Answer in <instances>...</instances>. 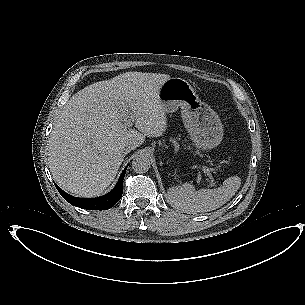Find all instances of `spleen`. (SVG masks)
Listing matches in <instances>:
<instances>
[{
    "label": "spleen",
    "mask_w": 305,
    "mask_h": 305,
    "mask_svg": "<svg viewBox=\"0 0 305 305\" xmlns=\"http://www.w3.org/2000/svg\"><path fill=\"white\" fill-rule=\"evenodd\" d=\"M231 180L239 181L238 176L226 179L218 188L201 189L195 191V187L189 183L182 186L169 188L167 195L171 205L186 213H204L213 211L226 204L234 195L229 188Z\"/></svg>",
    "instance_id": "1"
}]
</instances>
